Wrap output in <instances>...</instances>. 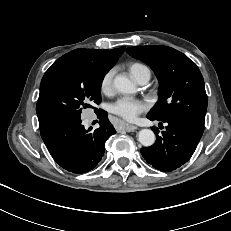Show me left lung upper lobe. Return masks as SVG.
<instances>
[{
    "label": "left lung upper lobe",
    "instance_id": "left-lung-upper-lobe-1",
    "mask_svg": "<svg viewBox=\"0 0 231 231\" xmlns=\"http://www.w3.org/2000/svg\"><path fill=\"white\" fill-rule=\"evenodd\" d=\"M126 52L149 65L159 80V100L149 116L161 120L181 117L204 125L207 95L203 77L192 60L161 45L131 47Z\"/></svg>",
    "mask_w": 231,
    "mask_h": 231
}]
</instances>
